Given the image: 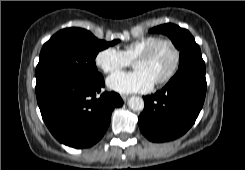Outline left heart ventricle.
I'll use <instances>...</instances> for the list:
<instances>
[{
    "mask_svg": "<svg viewBox=\"0 0 245 170\" xmlns=\"http://www.w3.org/2000/svg\"><path fill=\"white\" fill-rule=\"evenodd\" d=\"M173 61L174 54L171 47L166 43H162L155 48L149 58L135 61L134 67L145 71L155 82L170 71Z\"/></svg>",
    "mask_w": 245,
    "mask_h": 170,
    "instance_id": "left-heart-ventricle-1",
    "label": "left heart ventricle"
}]
</instances>
